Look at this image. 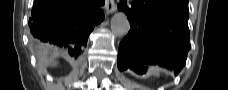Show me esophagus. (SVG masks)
I'll use <instances>...</instances> for the list:
<instances>
[{"label":"esophagus","instance_id":"esophagus-1","mask_svg":"<svg viewBox=\"0 0 228 90\" xmlns=\"http://www.w3.org/2000/svg\"><path fill=\"white\" fill-rule=\"evenodd\" d=\"M105 11L106 14H112L116 11V4L114 0H106Z\"/></svg>","mask_w":228,"mask_h":90}]
</instances>
